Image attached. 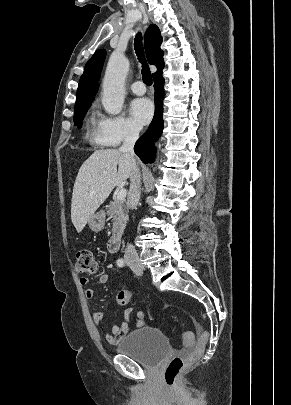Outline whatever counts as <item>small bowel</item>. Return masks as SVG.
I'll use <instances>...</instances> for the list:
<instances>
[{
	"label": "small bowel",
	"mask_w": 291,
	"mask_h": 405,
	"mask_svg": "<svg viewBox=\"0 0 291 405\" xmlns=\"http://www.w3.org/2000/svg\"><path fill=\"white\" fill-rule=\"evenodd\" d=\"M108 275L103 273L101 274L96 282L97 286L104 285L108 281ZM80 284L82 286H88L89 285V279L87 277H81L79 280ZM85 297L88 300H91L94 297V290L92 288H88L85 290ZM133 312L132 308H128L124 312V321L120 325L114 324L111 328V332L105 331L104 330V321L106 319V313L103 312H95L92 315V322L95 326V328L98 331H103L104 332V337L106 341L109 344L115 345L122 339L130 329V316ZM144 325V314L143 312H137L136 314V323L135 326L136 328L142 327Z\"/></svg>",
	"instance_id": "1"
}]
</instances>
